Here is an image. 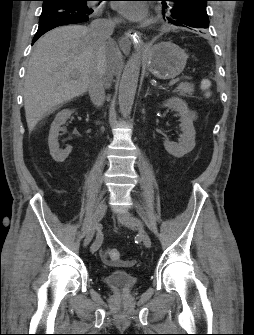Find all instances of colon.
<instances>
[{"label":"colon","mask_w":254,"mask_h":335,"mask_svg":"<svg viewBox=\"0 0 254 335\" xmlns=\"http://www.w3.org/2000/svg\"><path fill=\"white\" fill-rule=\"evenodd\" d=\"M200 86L204 91H208L211 87L209 79H203L200 82ZM120 252L117 249L111 248L105 251V258L108 262L116 263L120 260Z\"/></svg>","instance_id":"5ec220e1"}]
</instances>
